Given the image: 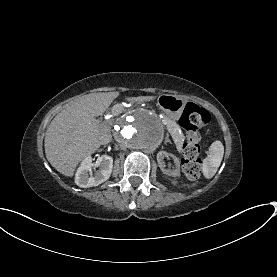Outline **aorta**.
I'll list each match as a JSON object with an SVG mask.
<instances>
[{
    "mask_svg": "<svg viewBox=\"0 0 277 277\" xmlns=\"http://www.w3.org/2000/svg\"><path fill=\"white\" fill-rule=\"evenodd\" d=\"M113 135L122 148L153 152L163 140L164 128L154 113L139 109L118 119Z\"/></svg>",
    "mask_w": 277,
    "mask_h": 277,
    "instance_id": "aorta-1",
    "label": "aorta"
}]
</instances>
